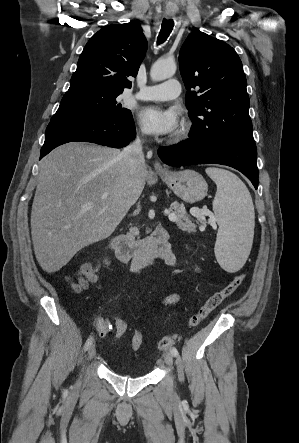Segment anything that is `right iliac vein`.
<instances>
[{"label":"right iliac vein","instance_id":"1","mask_svg":"<svg viewBox=\"0 0 299 443\" xmlns=\"http://www.w3.org/2000/svg\"><path fill=\"white\" fill-rule=\"evenodd\" d=\"M95 354H96V349H95V346L92 345V346L89 348V351H88V355H87L86 360H87V361H88V360H91V359L94 357Z\"/></svg>","mask_w":299,"mask_h":443}]
</instances>
